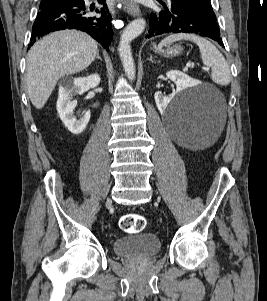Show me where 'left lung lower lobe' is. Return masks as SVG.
<instances>
[{
  "label": "left lung lower lobe",
  "instance_id": "left-lung-lower-lobe-1",
  "mask_svg": "<svg viewBox=\"0 0 267 301\" xmlns=\"http://www.w3.org/2000/svg\"><path fill=\"white\" fill-rule=\"evenodd\" d=\"M161 3L164 9L160 13H151L150 29L146 38L183 32L209 37L223 46L216 20L180 1L169 0Z\"/></svg>",
  "mask_w": 267,
  "mask_h": 301
}]
</instances>
